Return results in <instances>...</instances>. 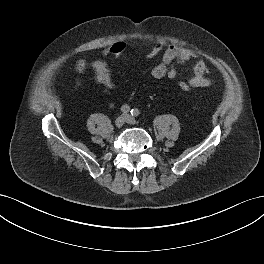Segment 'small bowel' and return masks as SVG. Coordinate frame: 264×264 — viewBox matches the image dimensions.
Instances as JSON below:
<instances>
[{"mask_svg": "<svg viewBox=\"0 0 264 264\" xmlns=\"http://www.w3.org/2000/svg\"><path fill=\"white\" fill-rule=\"evenodd\" d=\"M192 59H197V61L192 69V78L189 81L194 87L210 85L211 79L206 62L192 49L175 44L168 45L164 49L160 63L151 69L150 76L154 79H175L178 75V67ZM87 67L93 69L94 78L97 83L107 88L115 86L111 71L105 61L90 56L80 58L76 65L77 72L83 73Z\"/></svg>", "mask_w": 264, "mask_h": 264, "instance_id": "obj_1", "label": "small bowel"}]
</instances>
